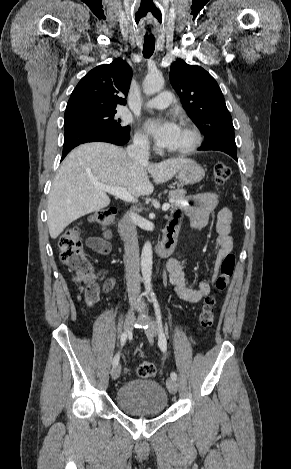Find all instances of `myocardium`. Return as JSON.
Segmentation results:
<instances>
[{
	"label": "myocardium",
	"mask_w": 291,
	"mask_h": 469,
	"mask_svg": "<svg viewBox=\"0 0 291 469\" xmlns=\"http://www.w3.org/2000/svg\"><path fill=\"white\" fill-rule=\"evenodd\" d=\"M181 126L185 127L186 129L189 130L192 140L191 142L184 148L181 149H168V153L172 155H178V156H185L193 153L200 145L202 142V136L199 131V129L195 126L193 122H191L188 119H184L181 121Z\"/></svg>",
	"instance_id": "1"
}]
</instances>
